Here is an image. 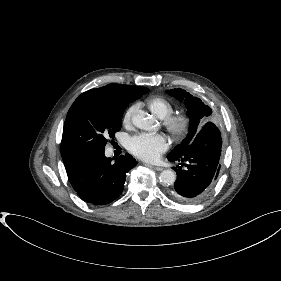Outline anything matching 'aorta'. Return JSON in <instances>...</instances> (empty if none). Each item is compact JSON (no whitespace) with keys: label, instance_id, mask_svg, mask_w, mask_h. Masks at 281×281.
Returning a JSON list of instances; mask_svg holds the SVG:
<instances>
[{"label":"aorta","instance_id":"1","mask_svg":"<svg viewBox=\"0 0 281 281\" xmlns=\"http://www.w3.org/2000/svg\"><path fill=\"white\" fill-rule=\"evenodd\" d=\"M133 124L143 130H149L153 127V119L145 112H139L132 117ZM160 182L164 185H172L176 180V174L172 170H164L159 176Z\"/></svg>","mask_w":281,"mask_h":281}]
</instances>
